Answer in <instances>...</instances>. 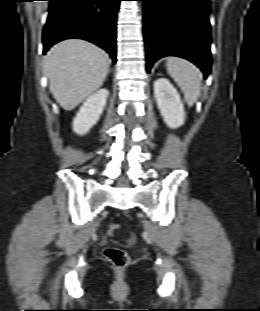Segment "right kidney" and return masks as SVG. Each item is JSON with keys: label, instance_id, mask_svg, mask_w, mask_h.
<instances>
[{"label": "right kidney", "instance_id": "1", "mask_svg": "<svg viewBox=\"0 0 260 311\" xmlns=\"http://www.w3.org/2000/svg\"><path fill=\"white\" fill-rule=\"evenodd\" d=\"M109 95L107 89H100L92 94L80 108L73 120V131L79 135L86 134L99 120Z\"/></svg>", "mask_w": 260, "mask_h": 311}]
</instances>
